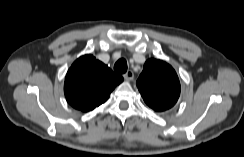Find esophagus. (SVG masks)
<instances>
[{
  "label": "esophagus",
  "mask_w": 244,
  "mask_h": 157,
  "mask_svg": "<svg viewBox=\"0 0 244 157\" xmlns=\"http://www.w3.org/2000/svg\"><path fill=\"white\" fill-rule=\"evenodd\" d=\"M123 77L126 81H131L134 78V73L133 71L129 70L123 75Z\"/></svg>",
  "instance_id": "esophagus-1"
}]
</instances>
